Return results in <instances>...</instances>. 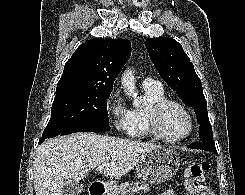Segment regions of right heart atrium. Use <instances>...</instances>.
I'll return each mask as SVG.
<instances>
[{"label": "right heart atrium", "mask_w": 245, "mask_h": 195, "mask_svg": "<svg viewBox=\"0 0 245 195\" xmlns=\"http://www.w3.org/2000/svg\"><path fill=\"white\" fill-rule=\"evenodd\" d=\"M105 109L114 130L118 133L129 134L131 129L130 110L118 90H112L107 96Z\"/></svg>", "instance_id": "1"}]
</instances>
